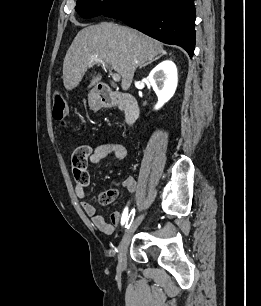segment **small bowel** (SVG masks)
Listing matches in <instances>:
<instances>
[{"mask_svg": "<svg viewBox=\"0 0 261 306\" xmlns=\"http://www.w3.org/2000/svg\"><path fill=\"white\" fill-rule=\"evenodd\" d=\"M89 147L91 148V153L88 160L91 164L99 163L100 161L109 157H115L118 160H124L127 156L126 147L119 143H105L94 148L91 146ZM73 175L75 179V193L76 196L82 200L81 206L85 214L91 219L93 225L101 232L106 234L114 233L119 223H121L124 211L113 212L111 215V220L107 221L103 215L97 213L95 206L86 200V187L89 183L87 167L85 166L82 169L73 168ZM123 186L129 192L135 193L137 189V182L133 177H128L124 180ZM107 191L101 195L100 199L107 193Z\"/></svg>", "mask_w": 261, "mask_h": 306, "instance_id": "obj_1", "label": "small bowel"}]
</instances>
